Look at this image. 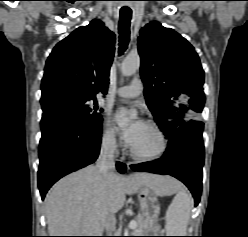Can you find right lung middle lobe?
I'll list each match as a JSON object with an SVG mask.
<instances>
[{"label": "right lung middle lobe", "mask_w": 248, "mask_h": 237, "mask_svg": "<svg viewBox=\"0 0 248 237\" xmlns=\"http://www.w3.org/2000/svg\"><path fill=\"white\" fill-rule=\"evenodd\" d=\"M42 118H63L81 123L102 122L94 98L61 96L41 103Z\"/></svg>", "instance_id": "right-lung-middle-lobe-1"}]
</instances>
